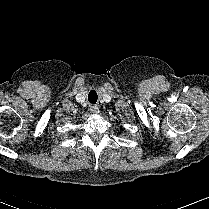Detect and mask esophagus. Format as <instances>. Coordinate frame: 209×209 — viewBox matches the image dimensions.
<instances>
[{
	"label": "esophagus",
	"instance_id": "34e87169",
	"mask_svg": "<svg viewBox=\"0 0 209 209\" xmlns=\"http://www.w3.org/2000/svg\"><path fill=\"white\" fill-rule=\"evenodd\" d=\"M90 111L93 113V114H98L99 113V107L95 104H92L90 105Z\"/></svg>",
	"mask_w": 209,
	"mask_h": 209
}]
</instances>
